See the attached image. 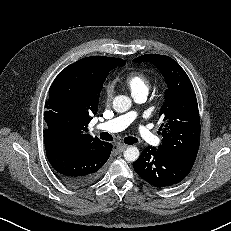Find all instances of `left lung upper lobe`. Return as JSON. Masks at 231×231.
<instances>
[{"label":"left lung upper lobe","mask_w":231,"mask_h":231,"mask_svg":"<svg viewBox=\"0 0 231 231\" xmlns=\"http://www.w3.org/2000/svg\"><path fill=\"white\" fill-rule=\"evenodd\" d=\"M134 62H151L162 73L167 84L165 100L159 118L163 143L158 151L169 156L195 161L200 144V117L192 83L172 58L165 55L145 54Z\"/></svg>","instance_id":"5c2ea615"}]
</instances>
